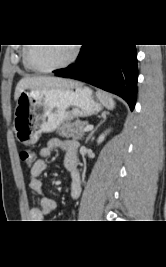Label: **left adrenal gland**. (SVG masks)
<instances>
[{
  "label": "left adrenal gland",
  "mask_w": 166,
  "mask_h": 267,
  "mask_svg": "<svg viewBox=\"0 0 166 267\" xmlns=\"http://www.w3.org/2000/svg\"><path fill=\"white\" fill-rule=\"evenodd\" d=\"M106 120V115H103V121H101L87 136L85 143H87L90 138L93 136L94 132H96V130L99 128V126Z\"/></svg>",
  "instance_id": "obj_1"
}]
</instances>
